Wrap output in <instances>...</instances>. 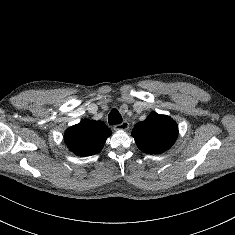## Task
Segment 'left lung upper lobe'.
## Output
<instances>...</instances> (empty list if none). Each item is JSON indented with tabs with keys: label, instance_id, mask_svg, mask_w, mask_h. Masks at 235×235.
<instances>
[{
	"label": "left lung upper lobe",
	"instance_id": "1",
	"mask_svg": "<svg viewBox=\"0 0 235 235\" xmlns=\"http://www.w3.org/2000/svg\"><path fill=\"white\" fill-rule=\"evenodd\" d=\"M131 135L141 151L159 154L172 147L178 136V126L171 117L153 112L135 124Z\"/></svg>",
	"mask_w": 235,
	"mask_h": 235
}]
</instances>
